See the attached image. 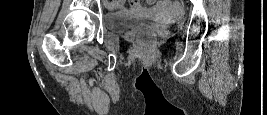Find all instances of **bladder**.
Returning a JSON list of instances; mask_svg holds the SVG:
<instances>
[{
	"instance_id": "31cf9c89",
	"label": "bladder",
	"mask_w": 267,
	"mask_h": 115,
	"mask_svg": "<svg viewBox=\"0 0 267 115\" xmlns=\"http://www.w3.org/2000/svg\"><path fill=\"white\" fill-rule=\"evenodd\" d=\"M151 19L147 15H135L128 13H107L105 15L106 27L114 32L136 30Z\"/></svg>"
}]
</instances>
